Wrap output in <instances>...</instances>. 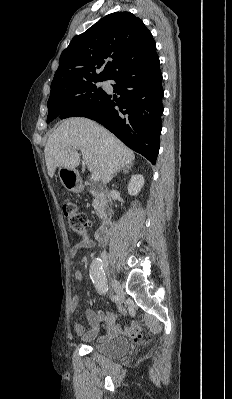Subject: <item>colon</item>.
<instances>
[{
	"mask_svg": "<svg viewBox=\"0 0 232 399\" xmlns=\"http://www.w3.org/2000/svg\"><path fill=\"white\" fill-rule=\"evenodd\" d=\"M65 203H62V213H65L64 220H68V228L72 232H77V235H82L83 227H91V222L88 220V215H76L78 208H76V201L69 193L65 194ZM82 241H89V228H84V236Z\"/></svg>",
	"mask_w": 232,
	"mask_h": 399,
	"instance_id": "obj_1",
	"label": "colon"
}]
</instances>
